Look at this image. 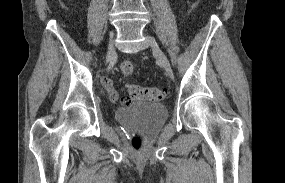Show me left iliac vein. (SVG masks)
<instances>
[{"label":"left iliac vein","mask_w":285,"mask_h":183,"mask_svg":"<svg viewBox=\"0 0 285 183\" xmlns=\"http://www.w3.org/2000/svg\"><path fill=\"white\" fill-rule=\"evenodd\" d=\"M146 42L150 45L154 55L158 59L160 65L165 69L166 73L173 78V72L170 66V63L166 57V55L163 53V51L159 48L157 42L155 39L147 34H145Z\"/></svg>","instance_id":"obj_1"}]
</instances>
